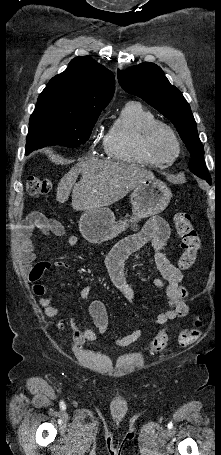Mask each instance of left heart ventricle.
<instances>
[{
  "label": "left heart ventricle",
  "mask_w": 221,
  "mask_h": 455,
  "mask_svg": "<svg viewBox=\"0 0 221 455\" xmlns=\"http://www.w3.org/2000/svg\"><path fill=\"white\" fill-rule=\"evenodd\" d=\"M163 145H164V148L170 153V154H173L174 153V145L172 143V141L168 138H164L163 139Z\"/></svg>",
  "instance_id": "obj_1"
}]
</instances>
